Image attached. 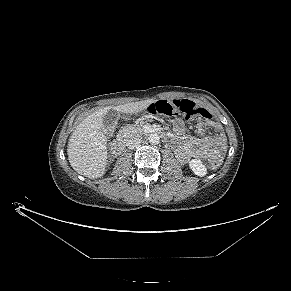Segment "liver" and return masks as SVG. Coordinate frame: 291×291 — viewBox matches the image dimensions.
<instances>
[{
  "label": "liver",
  "instance_id": "liver-1",
  "mask_svg": "<svg viewBox=\"0 0 291 291\" xmlns=\"http://www.w3.org/2000/svg\"><path fill=\"white\" fill-rule=\"evenodd\" d=\"M153 102V99H148L115 107L108 106L87 116L69 139L67 154L72 168L90 179L101 177L107 164V139L101 131L103 116L111 109L126 114L141 112Z\"/></svg>",
  "mask_w": 291,
  "mask_h": 291
}]
</instances>
